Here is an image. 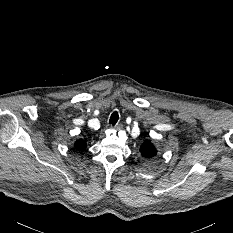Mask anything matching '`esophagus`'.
<instances>
[{
    "label": "esophagus",
    "mask_w": 233,
    "mask_h": 233,
    "mask_svg": "<svg viewBox=\"0 0 233 233\" xmlns=\"http://www.w3.org/2000/svg\"><path fill=\"white\" fill-rule=\"evenodd\" d=\"M113 128L115 130H121L123 128V125L122 124H117V125L113 126Z\"/></svg>",
    "instance_id": "1"
}]
</instances>
